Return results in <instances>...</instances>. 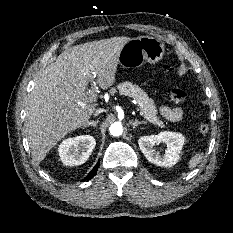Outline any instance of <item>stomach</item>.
I'll return each mask as SVG.
<instances>
[{
  "instance_id": "1",
  "label": "stomach",
  "mask_w": 233,
  "mask_h": 233,
  "mask_svg": "<svg viewBox=\"0 0 233 233\" xmlns=\"http://www.w3.org/2000/svg\"><path fill=\"white\" fill-rule=\"evenodd\" d=\"M165 52L164 44L149 36L130 39L122 48L119 63L123 68H135L142 62L155 64L159 62Z\"/></svg>"
}]
</instances>
